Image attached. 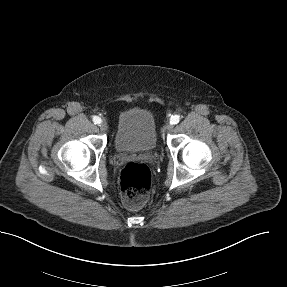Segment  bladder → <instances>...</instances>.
<instances>
[{
    "label": "bladder",
    "mask_w": 287,
    "mask_h": 287,
    "mask_svg": "<svg viewBox=\"0 0 287 287\" xmlns=\"http://www.w3.org/2000/svg\"><path fill=\"white\" fill-rule=\"evenodd\" d=\"M156 144V125L150 111L134 107L121 112L114 139L118 152H150Z\"/></svg>",
    "instance_id": "obj_1"
}]
</instances>
